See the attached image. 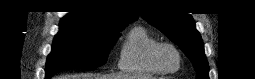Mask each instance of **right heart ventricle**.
I'll return each instance as SVG.
<instances>
[{
  "instance_id": "obj_1",
  "label": "right heart ventricle",
  "mask_w": 255,
  "mask_h": 79,
  "mask_svg": "<svg viewBox=\"0 0 255 79\" xmlns=\"http://www.w3.org/2000/svg\"><path fill=\"white\" fill-rule=\"evenodd\" d=\"M159 40L146 28L137 26L127 34L120 50L119 69L139 75H161L151 61L152 49Z\"/></svg>"
}]
</instances>
